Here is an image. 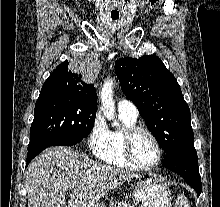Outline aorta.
<instances>
[{"mask_svg": "<svg viewBox=\"0 0 220 207\" xmlns=\"http://www.w3.org/2000/svg\"><path fill=\"white\" fill-rule=\"evenodd\" d=\"M113 88L114 82L112 79H107L101 88L100 98H101V109L104 116L108 120L113 121L114 126H119V123L114 120L115 118V102L113 100Z\"/></svg>", "mask_w": 220, "mask_h": 207, "instance_id": "obj_1", "label": "aorta"}]
</instances>
